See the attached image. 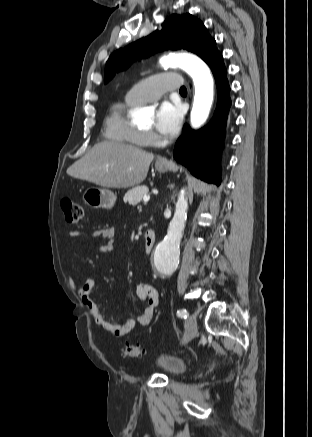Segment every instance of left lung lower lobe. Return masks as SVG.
I'll list each match as a JSON object with an SVG mask.
<instances>
[{
	"instance_id": "obj_1",
	"label": "left lung lower lobe",
	"mask_w": 312,
	"mask_h": 437,
	"mask_svg": "<svg viewBox=\"0 0 312 437\" xmlns=\"http://www.w3.org/2000/svg\"><path fill=\"white\" fill-rule=\"evenodd\" d=\"M211 68L217 85V108L211 122L195 132L188 125L178 139L174 158L185 165L191 173L207 182L220 184L219 158L228 111L231 105L227 70L222 55L216 53L207 63Z\"/></svg>"
}]
</instances>
